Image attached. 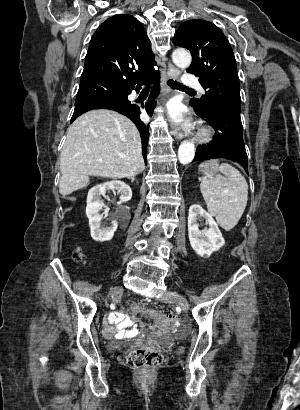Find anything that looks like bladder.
<instances>
[{
	"mask_svg": "<svg viewBox=\"0 0 300 410\" xmlns=\"http://www.w3.org/2000/svg\"><path fill=\"white\" fill-rule=\"evenodd\" d=\"M125 342H126V341H125ZM121 347H122V343H120V342L111 343V344L109 345V349H110L112 352L119 350Z\"/></svg>",
	"mask_w": 300,
	"mask_h": 410,
	"instance_id": "31cf9c89",
	"label": "bladder"
}]
</instances>
